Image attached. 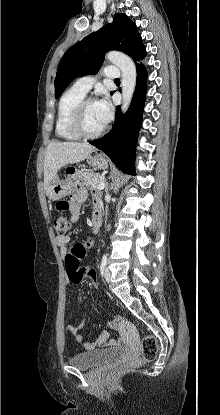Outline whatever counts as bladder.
Masks as SVG:
<instances>
[{
  "mask_svg": "<svg viewBox=\"0 0 220 415\" xmlns=\"http://www.w3.org/2000/svg\"><path fill=\"white\" fill-rule=\"evenodd\" d=\"M125 354L122 347L109 348L105 350H93L80 352L74 355L69 363L79 369H90L96 366L116 361Z\"/></svg>",
  "mask_w": 220,
  "mask_h": 415,
  "instance_id": "1",
  "label": "bladder"
}]
</instances>
